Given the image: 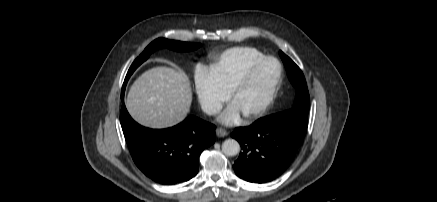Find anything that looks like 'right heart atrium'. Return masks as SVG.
Listing matches in <instances>:
<instances>
[{
  "label": "right heart atrium",
  "instance_id": "obj_1",
  "mask_svg": "<svg viewBox=\"0 0 437 202\" xmlns=\"http://www.w3.org/2000/svg\"><path fill=\"white\" fill-rule=\"evenodd\" d=\"M194 89L202 110L208 115L217 114L230 97L211 68L199 65L195 69Z\"/></svg>",
  "mask_w": 437,
  "mask_h": 202
}]
</instances>
